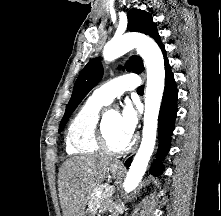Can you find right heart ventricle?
<instances>
[{"instance_id": "e07e8e85", "label": "right heart ventricle", "mask_w": 221, "mask_h": 216, "mask_svg": "<svg viewBox=\"0 0 221 216\" xmlns=\"http://www.w3.org/2000/svg\"><path fill=\"white\" fill-rule=\"evenodd\" d=\"M103 105L89 98L74 116L66 133V151L69 154L87 155L100 151L97 127Z\"/></svg>"}]
</instances>
